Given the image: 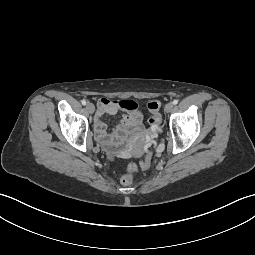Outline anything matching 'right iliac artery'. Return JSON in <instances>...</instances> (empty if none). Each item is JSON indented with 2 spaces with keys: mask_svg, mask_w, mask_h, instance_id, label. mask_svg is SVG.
Listing matches in <instances>:
<instances>
[{
  "mask_svg": "<svg viewBox=\"0 0 255 255\" xmlns=\"http://www.w3.org/2000/svg\"><path fill=\"white\" fill-rule=\"evenodd\" d=\"M81 103H82L83 105H86V101H85V100H82Z\"/></svg>",
  "mask_w": 255,
  "mask_h": 255,
  "instance_id": "obj_1",
  "label": "right iliac artery"
}]
</instances>
